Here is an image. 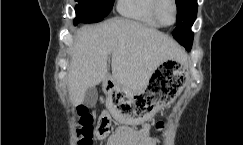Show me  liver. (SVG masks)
<instances>
[{
    "instance_id": "6515ba94",
    "label": "liver",
    "mask_w": 243,
    "mask_h": 145,
    "mask_svg": "<svg viewBox=\"0 0 243 145\" xmlns=\"http://www.w3.org/2000/svg\"><path fill=\"white\" fill-rule=\"evenodd\" d=\"M68 88L73 104L107 78L111 55L113 81L143 91L155 69L166 60L185 62L183 49L168 35L138 21L112 18L81 27L70 50Z\"/></svg>"
}]
</instances>
